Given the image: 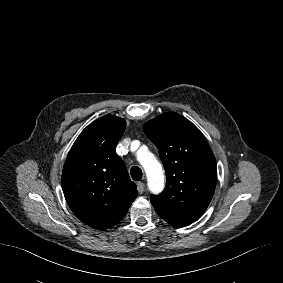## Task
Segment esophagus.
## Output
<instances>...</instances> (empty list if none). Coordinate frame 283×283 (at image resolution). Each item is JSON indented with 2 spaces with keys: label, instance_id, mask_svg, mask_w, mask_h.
<instances>
[{
  "label": "esophagus",
  "instance_id": "obj_1",
  "mask_svg": "<svg viewBox=\"0 0 283 283\" xmlns=\"http://www.w3.org/2000/svg\"><path fill=\"white\" fill-rule=\"evenodd\" d=\"M137 189L140 194H142L145 190V184L143 182H138L137 183Z\"/></svg>",
  "mask_w": 283,
  "mask_h": 283
}]
</instances>
